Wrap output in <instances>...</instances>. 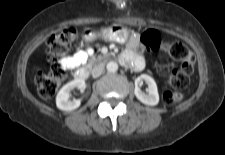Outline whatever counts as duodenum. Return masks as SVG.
Here are the masks:
<instances>
[{
    "label": "duodenum",
    "instance_id": "410a0bca",
    "mask_svg": "<svg viewBox=\"0 0 225 155\" xmlns=\"http://www.w3.org/2000/svg\"><path fill=\"white\" fill-rule=\"evenodd\" d=\"M121 61L125 64H131L130 61L124 58H121ZM74 77L76 80H79V81L85 80L88 77V70L86 68H80L75 72Z\"/></svg>",
    "mask_w": 225,
    "mask_h": 155
}]
</instances>
